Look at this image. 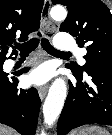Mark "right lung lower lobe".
<instances>
[{
    "label": "right lung lower lobe",
    "mask_w": 112,
    "mask_h": 135,
    "mask_svg": "<svg viewBox=\"0 0 112 135\" xmlns=\"http://www.w3.org/2000/svg\"><path fill=\"white\" fill-rule=\"evenodd\" d=\"M27 72V69H24ZM18 79L5 75L0 80V123L21 135H35L41 101L35 88H17Z\"/></svg>",
    "instance_id": "98d812e1"
}]
</instances>
